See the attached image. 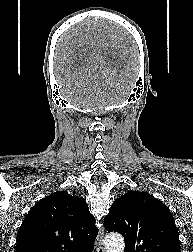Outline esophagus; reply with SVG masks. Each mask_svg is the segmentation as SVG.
<instances>
[{
	"mask_svg": "<svg viewBox=\"0 0 193 252\" xmlns=\"http://www.w3.org/2000/svg\"><path fill=\"white\" fill-rule=\"evenodd\" d=\"M96 247H97V249H100L101 252H105V249H104V228L103 227H101L98 232V235L96 238Z\"/></svg>",
	"mask_w": 193,
	"mask_h": 252,
	"instance_id": "obj_1",
	"label": "esophagus"
}]
</instances>
